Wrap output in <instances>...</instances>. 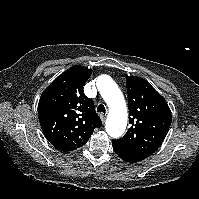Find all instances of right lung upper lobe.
<instances>
[{
	"instance_id": "obj_1",
	"label": "right lung upper lobe",
	"mask_w": 199,
	"mask_h": 199,
	"mask_svg": "<svg viewBox=\"0 0 199 199\" xmlns=\"http://www.w3.org/2000/svg\"><path fill=\"white\" fill-rule=\"evenodd\" d=\"M92 73L84 66H73L57 77L42 93L38 117L47 140L61 151L84 145L95 128L102 126L94 102L83 93Z\"/></svg>"
}]
</instances>
